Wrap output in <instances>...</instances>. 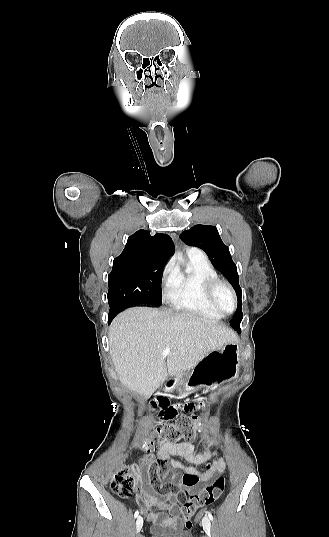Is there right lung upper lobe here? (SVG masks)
Listing matches in <instances>:
<instances>
[{
  "label": "right lung upper lobe",
  "instance_id": "obj_1",
  "mask_svg": "<svg viewBox=\"0 0 329 537\" xmlns=\"http://www.w3.org/2000/svg\"><path fill=\"white\" fill-rule=\"evenodd\" d=\"M172 254V240L168 235L151 236L149 231L139 230L128 238L123 252L114 259L112 270L166 264Z\"/></svg>",
  "mask_w": 329,
  "mask_h": 537
}]
</instances>
